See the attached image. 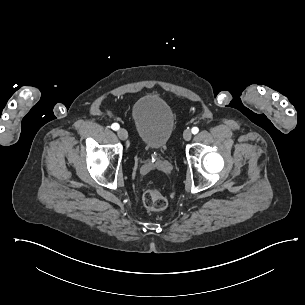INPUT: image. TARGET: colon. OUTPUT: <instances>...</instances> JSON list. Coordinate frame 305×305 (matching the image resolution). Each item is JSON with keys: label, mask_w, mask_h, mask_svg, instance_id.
Segmentation results:
<instances>
[{"label": "colon", "mask_w": 305, "mask_h": 305, "mask_svg": "<svg viewBox=\"0 0 305 305\" xmlns=\"http://www.w3.org/2000/svg\"><path fill=\"white\" fill-rule=\"evenodd\" d=\"M143 204L148 210L157 212L166 208L167 199L157 190L149 189L143 194Z\"/></svg>", "instance_id": "colon-1"}]
</instances>
